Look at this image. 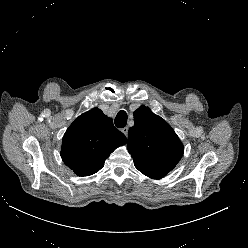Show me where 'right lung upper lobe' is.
<instances>
[{
    "mask_svg": "<svg viewBox=\"0 0 248 248\" xmlns=\"http://www.w3.org/2000/svg\"><path fill=\"white\" fill-rule=\"evenodd\" d=\"M125 135L113 126L112 118L94 108L80 115L66 130L61 148L63 162L79 176H89L104 166Z\"/></svg>",
    "mask_w": 248,
    "mask_h": 248,
    "instance_id": "1",
    "label": "right lung upper lobe"
}]
</instances>
